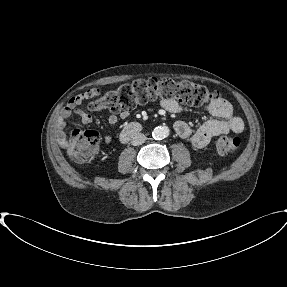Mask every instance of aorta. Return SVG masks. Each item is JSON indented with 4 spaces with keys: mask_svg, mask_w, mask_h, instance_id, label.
Returning a JSON list of instances; mask_svg holds the SVG:
<instances>
[{
    "mask_svg": "<svg viewBox=\"0 0 287 287\" xmlns=\"http://www.w3.org/2000/svg\"><path fill=\"white\" fill-rule=\"evenodd\" d=\"M169 135V129L166 126H157L153 129L152 136L156 140L164 139Z\"/></svg>",
    "mask_w": 287,
    "mask_h": 287,
    "instance_id": "762f6f07",
    "label": "aorta"
}]
</instances>
